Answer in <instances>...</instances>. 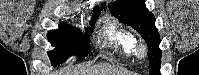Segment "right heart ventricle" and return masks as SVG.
Returning a JSON list of instances; mask_svg holds the SVG:
<instances>
[{
    "instance_id": "e07e8e85",
    "label": "right heart ventricle",
    "mask_w": 199,
    "mask_h": 75,
    "mask_svg": "<svg viewBox=\"0 0 199 75\" xmlns=\"http://www.w3.org/2000/svg\"><path fill=\"white\" fill-rule=\"evenodd\" d=\"M105 35L110 43L120 54L130 56L134 49V38L132 34L115 22H110Z\"/></svg>"
}]
</instances>
